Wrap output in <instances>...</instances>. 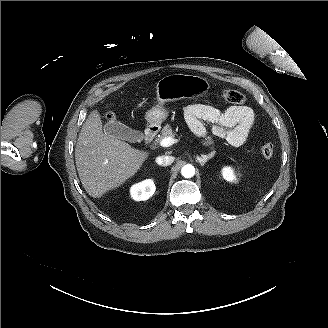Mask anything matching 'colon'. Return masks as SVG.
<instances>
[{"instance_id":"5ec220e1","label":"colon","mask_w":328,"mask_h":328,"mask_svg":"<svg viewBox=\"0 0 328 328\" xmlns=\"http://www.w3.org/2000/svg\"><path fill=\"white\" fill-rule=\"evenodd\" d=\"M222 99L229 104L240 105L244 102V96L241 92L233 89H226L222 92ZM107 117H112L111 113ZM274 153V145L271 142H265L261 146V154L265 159H270Z\"/></svg>"}]
</instances>
